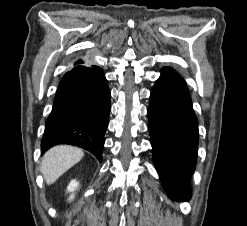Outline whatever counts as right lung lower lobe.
Returning a JSON list of instances; mask_svg holds the SVG:
<instances>
[{
  "label": "right lung lower lobe",
  "mask_w": 247,
  "mask_h": 226,
  "mask_svg": "<svg viewBox=\"0 0 247 226\" xmlns=\"http://www.w3.org/2000/svg\"><path fill=\"white\" fill-rule=\"evenodd\" d=\"M109 112L110 91L102 69L76 61L58 86L41 140L42 153L57 144H71L101 162Z\"/></svg>",
  "instance_id": "98d812e1"
}]
</instances>
